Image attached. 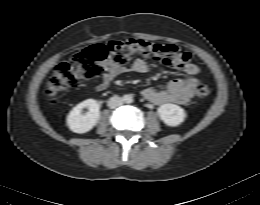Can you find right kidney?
I'll return each instance as SVG.
<instances>
[{
  "label": "right kidney",
  "instance_id": "obj_1",
  "mask_svg": "<svg viewBox=\"0 0 260 205\" xmlns=\"http://www.w3.org/2000/svg\"><path fill=\"white\" fill-rule=\"evenodd\" d=\"M87 108L85 114L82 110ZM100 105L96 100L87 99L75 106L67 116V125L75 133L83 134L90 131L98 122L100 117Z\"/></svg>",
  "mask_w": 260,
  "mask_h": 205
}]
</instances>
